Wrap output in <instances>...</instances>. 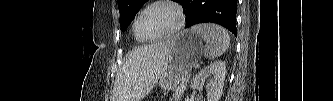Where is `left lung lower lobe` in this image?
Here are the masks:
<instances>
[{
  "label": "left lung lower lobe",
  "mask_w": 333,
  "mask_h": 101,
  "mask_svg": "<svg viewBox=\"0 0 333 101\" xmlns=\"http://www.w3.org/2000/svg\"><path fill=\"white\" fill-rule=\"evenodd\" d=\"M186 15V28L198 23H217L234 35L236 28L237 0H182Z\"/></svg>",
  "instance_id": "1"
}]
</instances>
